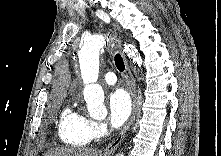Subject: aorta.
Masks as SVG:
<instances>
[{"instance_id": "aorta-1", "label": "aorta", "mask_w": 221, "mask_h": 156, "mask_svg": "<svg viewBox=\"0 0 221 156\" xmlns=\"http://www.w3.org/2000/svg\"><path fill=\"white\" fill-rule=\"evenodd\" d=\"M108 43V38L103 34H95L87 38L79 51L81 76L84 83L83 95L87 104V110L94 119H103L107 115L104 105V91L97 84L99 76V52ZM124 51L134 63L142 64L140 54L131 44L124 47ZM120 156H124L121 154Z\"/></svg>"}]
</instances>
